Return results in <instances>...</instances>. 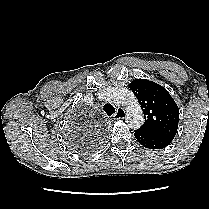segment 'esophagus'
Masks as SVG:
<instances>
[{
    "label": "esophagus",
    "instance_id": "1",
    "mask_svg": "<svg viewBox=\"0 0 209 209\" xmlns=\"http://www.w3.org/2000/svg\"><path fill=\"white\" fill-rule=\"evenodd\" d=\"M126 116V111L122 107H118L116 113L112 116V119L118 120L123 119Z\"/></svg>",
    "mask_w": 209,
    "mask_h": 209
}]
</instances>
